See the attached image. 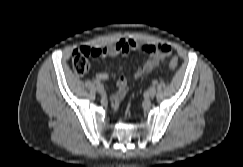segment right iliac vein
Listing matches in <instances>:
<instances>
[{
    "label": "right iliac vein",
    "mask_w": 243,
    "mask_h": 167,
    "mask_svg": "<svg viewBox=\"0 0 243 167\" xmlns=\"http://www.w3.org/2000/svg\"><path fill=\"white\" fill-rule=\"evenodd\" d=\"M97 91L99 94H103L105 92L104 87L102 85L97 86Z\"/></svg>",
    "instance_id": "63e3f726"
}]
</instances>
